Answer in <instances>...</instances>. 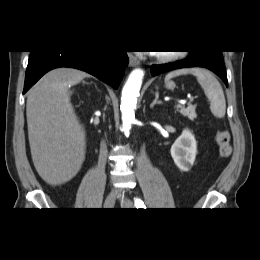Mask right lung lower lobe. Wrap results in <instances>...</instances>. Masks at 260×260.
Segmentation results:
<instances>
[{"instance_id":"obj_1","label":"right lung lower lobe","mask_w":260,"mask_h":260,"mask_svg":"<svg viewBox=\"0 0 260 260\" xmlns=\"http://www.w3.org/2000/svg\"><path fill=\"white\" fill-rule=\"evenodd\" d=\"M127 63L126 51H31L23 94L46 72L58 67L86 71L117 89Z\"/></svg>"}]
</instances>
